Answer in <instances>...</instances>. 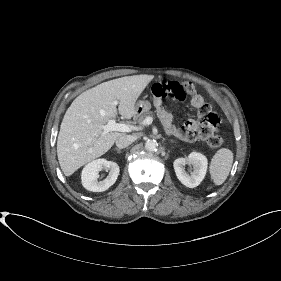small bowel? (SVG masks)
I'll return each instance as SVG.
<instances>
[{"instance_id":"c3829d8e","label":"small bowel","mask_w":281,"mask_h":281,"mask_svg":"<svg viewBox=\"0 0 281 281\" xmlns=\"http://www.w3.org/2000/svg\"><path fill=\"white\" fill-rule=\"evenodd\" d=\"M158 116L165 128V131L184 141H193L198 139L196 133L200 130L199 124L194 119L186 120L182 126H176L173 122L172 115L157 101L155 103ZM191 105L196 109H205L208 104L204 97L200 94H195L191 98Z\"/></svg>"}]
</instances>
